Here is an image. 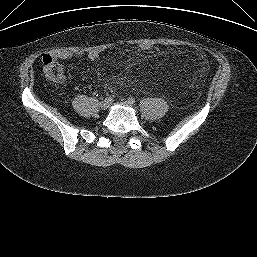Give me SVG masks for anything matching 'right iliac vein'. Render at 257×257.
I'll use <instances>...</instances> for the list:
<instances>
[{
    "label": "right iliac vein",
    "mask_w": 257,
    "mask_h": 257,
    "mask_svg": "<svg viewBox=\"0 0 257 257\" xmlns=\"http://www.w3.org/2000/svg\"><path fill=\"white\" fill-rule=\"evenodd\" d=\"M109 106H110V104L105 101L100 102V108L102 110H107L109 108Z\"/></svg>",
    "instance_id": "1"
}]
</instances>
